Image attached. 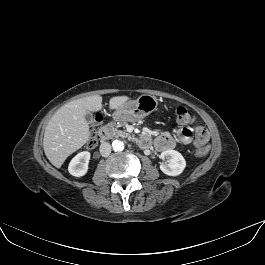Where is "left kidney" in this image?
<instances>
[{
    "label": "left kidney",
    "mask_w": 265,
    "mask_h": 265,
    "mask_svg": "<svg viewBox=\"0 0 265 265\" xmlns=\"http://www.w3.org/2000/svg\"><path fill=\"white\" fill-rule=\"evenodd\" d=\"M166 162L160 165V170L169 176L180 175L186 167V161L181 153L175 150L163 151L160 155Z\"/></svg>",
    "instance_id": "obj_1"
}]
</instances>
